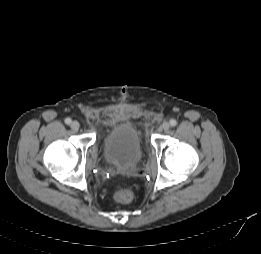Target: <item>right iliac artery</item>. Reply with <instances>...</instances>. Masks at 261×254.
<instances>
[{
	"instance_id": "obj_1",
	"label": "right iliac artery",
	"mask_w": 261,
	"mask_h": 254,
	"mask_svg": "<svg viewBox=\"0 0 261 254\" xmlns=\"http://www.w3.org/2000/svg\"><path fill=\"white\" fill-rule=\"evenodd\" d=\"M71 122H72V120H71L70 118H66V119H65V123H66V124L69 125V124H71Z\"/></svg>"
}]
</instances>
